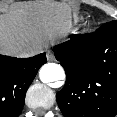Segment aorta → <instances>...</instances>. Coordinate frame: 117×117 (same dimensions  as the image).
I'll list each match as a JSON object with an SVG mask.
<instances>
[{"instance_id":"1","label":"aorta","mask_w":117,"mask_h":117,"mask_svg":"<svg viewBox=\"0 0 117 117\" xmlns=\"http://www.w3.org/2000/svg\"><path fill=\"white\" fill-rule=\"evenodd\" d=\"M40 80L43 83H51L65 79V72L61 65L56 63H47L39 71Z\"/></svg>"}]
</instances>
